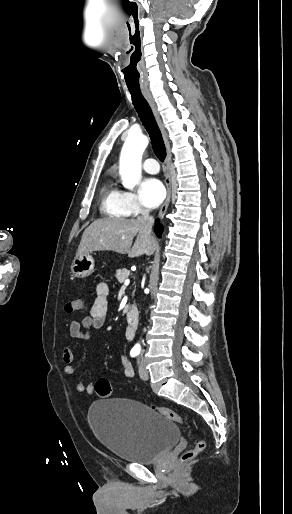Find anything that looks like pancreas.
I'll return each mask as SVG.
<instances>
[{"label": "pancreas", "instance_id": "pancreas-1", "mask_svg": "<svg viewBox=\"0 0 292 514\" xmlns=\"http://www.w3.org/2000/svg\"><path fill=\"white\" fill-rule=\"evenodd\" d=\"M129 276L130 272L129 270H126V268H123V270H116L115 278H117L120 284H123V282L129 278Z\"/></svg>", "mask_w": 292, "mask_h": 514}]
</instances>
